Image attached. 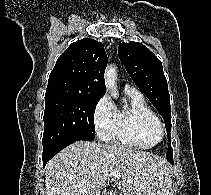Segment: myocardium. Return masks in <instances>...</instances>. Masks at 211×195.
Wrapping results in <instances>:
<instances>
[{
  "label": "myocardium",
  "instance_id": "f54148a6",
  "mask_svg": "<svg viewBox=\"0 0 211 195\" xmlns=\"http://www.w3.org/2000/svg\"><path fill=\"white\" fill-rule=\"evenodd\" d=\"M148 130L150 135L153 136L158 142L165 136V130L160 121L152 123Z\"/></svg>",
  "mask_w": 211,
  "mask_h": 195
}]
</instances>
